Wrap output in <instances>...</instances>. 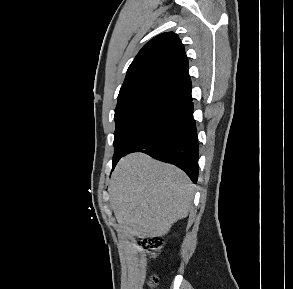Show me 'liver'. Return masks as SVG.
I'll list each match as a JSON object with an SVG mask.
<instances>
[{"instance_id": "1", "label": "liver", "mask_w": 293, "mask_h": 289, "mask_svg": "<svg viewBox=\"0 0 293 289\" xmlns=\"http://www.w3.org/2000/svg\"><path fill=\"white\" fill-rule=\"evenodd\" d=\"M119 225L141 238L161 237L192 208L194 185L179 168L133 153L123 157L109 183Z\"/></svg>"}]
</instances>
